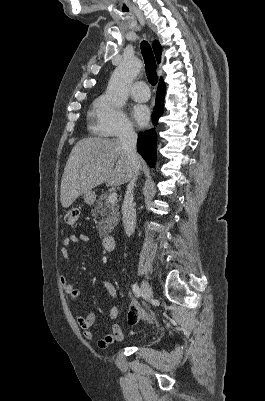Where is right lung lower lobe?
I'll use <instances>...</instances> for the list:
<instances>
[{
  "label": "right lung lower lobe",
  "instance_id": "right-lung-lower-lobe-1",
  "mask_svg": "<svg viewBox=\"0 0 265 401\" xmlns=\"http://www.w3.org/2000/svg\"><path fill=\"white\" fill-rule=\"evenodd\" d=\"M164 95H165V84L162 81L158 85V90L156 95V105L153 112L154 125H156L158 118L163 113ZM155 147H156V132L154 129L139 133L137 141V150L150 167H154L156 163Z\"/></svg>",
  "mask_w": 265,
  "mask_h": 401
}]
</instances>
